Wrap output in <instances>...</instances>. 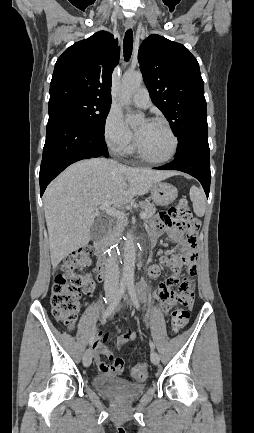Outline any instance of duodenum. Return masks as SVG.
I'll use <instances>...</instances> for the list:
<instances>
[{
  "label": "duodenum",
  "instance_id": "1",
  "mask_svg": "<svg viewBox=\"0 0 254 433\" xmlns=\"http://www.w3.org/2000/svg\"><path fill=\"white\" fill-rule=\"evenodd\" d=\"M150 246H151V242H149L147 244L148 248ZM95 247H96V250L98 252L103 251V247L100 243H96ZM109 266H110V260L107 257H101L98 260L97 267H96V273H97V276L99 277V279L104 280L106 278V276L108 274Z\"/></svg>",
  "mask_w": 254,
  "mask_h": 433
}]
</instances>
